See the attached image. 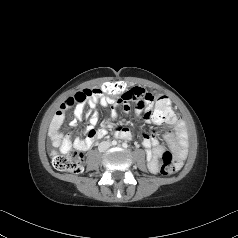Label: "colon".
<instances>
[{
  "instance_id": "1",
  "label": "colon",
  "mask_w": 238,
  "mask_h": 238,
  "mask_svg": "<svg viewBox=\"0 0 238 238\" xmlns=\"http://www.w3.org/2000/svg\"><path fill=\"white\" fill-rule=\"evenodd\" d=\"M127 88L124 80H104V85L95 89H84L77 92L73 97H70L66 104L72 105L75 102H83L93 95L106 96V103H119ZM148 116L159 121L167 122L175 115L170 101L165 97H156L154 108L148 111ZM53 166L63 172L79 174L84 168V158L80 152L73 151L65 155L57 153L52 154ZM178 162L171 152H164L160 163V173L169 175L176 171Z\"/></svg>"
}]
</instances>
